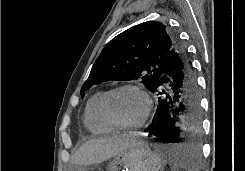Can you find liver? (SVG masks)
Returning <instances> with one entry per match:
<instances>
[{
	"instance_id": "1",
	"label": "liver",
	"mask_w": 245,
	"mask_h": 171,
	"mask_svg": "<svg viewBox=\"0 0 245 171\" xmlns=\"http://www.w3.org/2000/svg\"><path fill=\"white\" fill-rule=\"evenodd\" d=\"M136 136L135 133H123L88 140L75 152L71 162L79 166L101 163L131 146L144 145Z\"/></svg>"
}]
</instances>
